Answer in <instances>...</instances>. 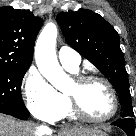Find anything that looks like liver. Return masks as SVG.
Here are the masks:
<instances>
[{
	"label": "liver",
	"mask_w": 136,
	"mask_h": 136,
	"mask_svg": "<svg viewBox=\"0 0 136 136\" xmlns=\"http://www.w3.org/2000/svg\"><path fill=\"white\" fill-rule=\"evenodd\" d=\"M98 128L73 127L65 129L59 136H90ZM52 130L48 127L37 126L31 122L18 121L11 116L0 114V136H51Z\"/></svg>",
	"instance_id": "liver-1"
}]
</instances>
